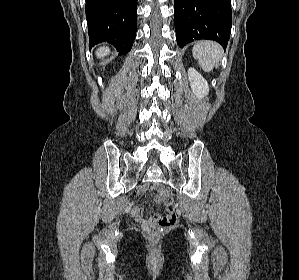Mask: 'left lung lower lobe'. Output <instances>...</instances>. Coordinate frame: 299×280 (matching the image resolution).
<instances>
[{"label":"left lung lower lobe","mask_w":299,"mask_h":280,"mask_svg":"<svg viewBox=\"0 0 299 280\" xmlns=\"http://www.w3.org/2000/svg\"><path fill=\"white\" fill-rule=\"evenodd\" d=\"M177 44L210 39L226 48L232 26L230 0H174Z\"/></svg>","instance_id":"obj_1"}]
</instances>
